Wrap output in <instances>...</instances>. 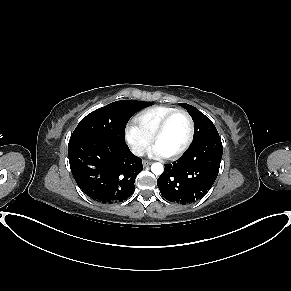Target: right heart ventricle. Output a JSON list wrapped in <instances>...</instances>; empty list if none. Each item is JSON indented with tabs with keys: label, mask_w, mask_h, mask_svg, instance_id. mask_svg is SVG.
Segmentation results:
<instances>
[{
	"label": "right heart ventricle",
	"mask_w": 291,
	"mask_h": 291,
	"mask_svg": "<svg viewBox=\"0 0 291 291\" xmlns=\"http://www.w3.org/2000/svg\"><path fill=\"white\" fill-rule=\"evenodd\" d=\"M174 110H176V108L170 106H155L137 114L134 121L152 138L161 121Z\"/></svg>",
	"instance_id": "right-heart-ventricle-1"
}]
</instances>
